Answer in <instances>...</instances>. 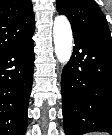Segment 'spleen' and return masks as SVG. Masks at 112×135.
<instances>
[{
  "mask_svg": "<svg viewBox=\"0 0 112 135\" xmlns=\"http://www.w3.org/2000/svg\"><path fill=\"white\" fill-rule=\"evenodd\" d=\"M90 135H103V134H100V133H93V134H90Z\"/></svg>",
  "mask_w": 112,
  "mask_h": 135,
  "instance_id": "obj_1",
  "label": "spleen"
}]
</instances>
